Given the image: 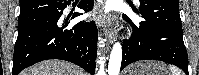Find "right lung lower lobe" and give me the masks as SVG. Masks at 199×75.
I'll use <instances>...</instances> for the list:
<instances>
[{
	"mask_svg": "<svg viewBox=\"0 0 199 75\" xmlns=\"http://www.w3.org/2000/svg\"><path fill=\"white\" fill-rule=\"evenodd\" d=\"M70 3V0H20L12 75L46 59L70 61L94 74L97 27L93 21H81L68 28V19L63 20L62 13ZM93 4L94 0H81L78 7L88 12ZM79 15L75 13L72 18Z\"/></svg>",
	"mask_w": 199,
	"mask_h": 75,
	"instance_id": "1",
	"label": "right lung lower lobe"
}]
</instances>
